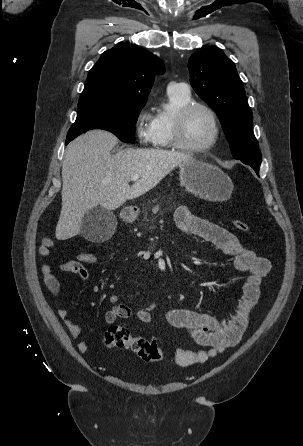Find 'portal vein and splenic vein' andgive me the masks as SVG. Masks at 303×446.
I'll return each mask as SVG.
<instances>
[{
  "mask_svg": "<svg viewBox=\"0 0 303 446\" xmlns=\"http://www.w3.org/2000/svg\"><path fill=\"white\" fill-rule=\"evenodd\" d=\"M139 179V176L138 175H132L131 176V180L132 181H137Z\"/></svg>",
  "mask_w": 303,
  "mask_h": 446,
  "instance_id": "obj_1",
  "label": "portal vein and splenic vein"
}]
</instances>
